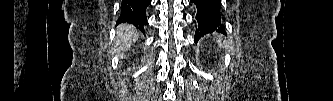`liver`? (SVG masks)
<instances>
[{
    "label": "liver",
    "instance_id": "6515ba94",
    "mask_svg": "<svg viewBox=\"0 0 333 101\" xmlns=\"http://www.w3.org/2000/svg\"><path fill=\"white\" fill-rule=\"evenodd\" d=\"M138 39L135 27L129 24H121L117 27L116 50L124 52Z\"/></svg>",
    "mask_w": 333,
    "mask_h": 101
}]
</instances>
